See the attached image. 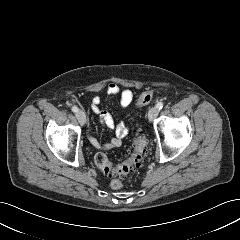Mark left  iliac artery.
I'll return each instance as SVG.
<instances>
[{"mask_svg":"<svg viewBox=\"0 0 240 240\" xmlns=\"http://www.w3.org/2000/svg\"><path fill=\"white\" fill-rule=\"evenodd\" d=\"M163 106H164V103H163V102H159V103L156 105V107H157L159 110L162 109Z\"/></svg>","mask_w":240,"mask_h":240,"instance_id":"left-iliac-artery-1","label":"left iliac artery"}]
</instances>
